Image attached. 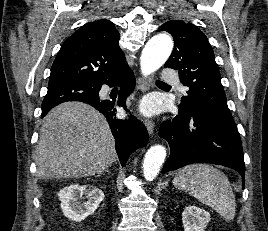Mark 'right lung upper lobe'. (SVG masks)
Wrapping results in <instances>:
<instances>
[{
  "label": "right lung upper lobe",
  "instance_id": "cb5924a9",
  "mask_svg": "<svg viewBox=\"0 0 268 231\" xmlns=\"http://www.w3.org/2000/svg\"><path fill=\"white\" fill-rule=\"evenodd\" d=\"M119 38L109 20L85 24L63 43L51 67L49 84L77 82L96 87L106 82L127 64ZM59 103L43 102L42 110Z\"/></svg>",
  "mask_w": 268,
  "mask_h": 231
}]
</instances>
